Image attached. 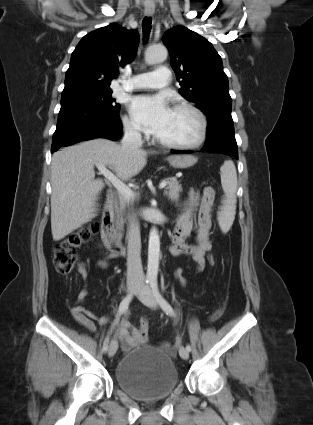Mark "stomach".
Segmentation results:
<instances>
[{
    "label": "stomach",
    "instance_id": "obj_1",
    "mask_svg": "<svg viewBox=\"0 0 313 425\" xmlns=\"http://www.w3.org/2000/svg\"><path fill=\"white\" fill-rule=\"evenodd\" d=\"M169 164L176 169H186L197 162V158L192 155H172L167 158Z\"/></svg>",
    "mask_w": 313,
    "mask_h": 425
}]
</instances>
